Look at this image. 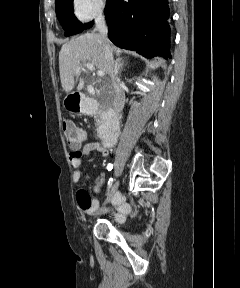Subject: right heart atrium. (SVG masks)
<instances>
[{
	"instance_id": "1",
	"label": "right heart atrium",
	"mask_w": 240,
	"mask_h": 288,
	"mask_svg": "<svg viewBox=\"0 0 240 288\" xmlns=\"http://www.w3.org/2000/svg\"><path fill=\"white\" fill-rule=\"evenodd\" d=\"M103 0H73V10L80 21H88L102 13Z\"/></svg>"
}]
</instances>
